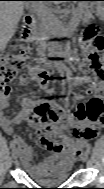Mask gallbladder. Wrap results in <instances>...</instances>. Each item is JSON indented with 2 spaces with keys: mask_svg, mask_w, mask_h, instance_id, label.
<instances>
[{
  "mask_svg": "<svg viewBox=\"0 0 104 189\" xmlns=\"http://www.w3.org/2000/svg\"><path fill=\"white\" fill-rule=\"evenodd\" d=\"M24 7L28 9V8H31V5L30 4H25Z\"/></svg>",
  "mask_w": 104,
  "mask_h": 189,
  "instance_id": "1",
  "label": "gallbladder"
}]
</instances>
